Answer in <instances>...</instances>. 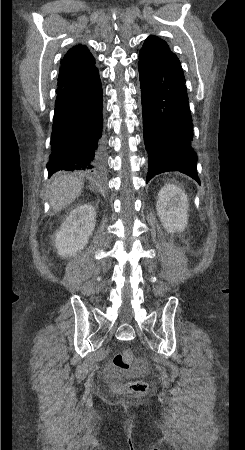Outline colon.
<instances>
[{
    "mask_svg": "<svg viewBox=\"0 0 245 450\" xmlns=\"http://www.w3.org/2000/svg\"><path fill=\"white\" fill-rule=\"evenodd\" d=\"M134 355L131 350L118 352L113 357V365L118 373L129 370L132 365ZM112 388L117 392L130 391L134 394H144L148 390L147 383L139 380H132L127 383H119L116 378L112 381Z\"/></svg>",
    "mask_w": 245,
    "mask_h": 450,
    "instance_id": "5ec220e1",
    "label": "colon"
}]
</instances>
